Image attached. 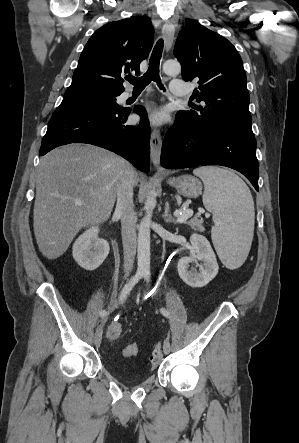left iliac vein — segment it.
Here are the masks:
<instances>
[{"label":"left iliac vein","instance_id":"1","mask_svg":"<svg viewBox=\"0 0 299 443\" xmlns=\"http://www.w3.org/2000/svg\"><path fill=\"white\" fill-rule=\"evenodd\" d=\"M171 350V345L168 339H165L164 344H163V351L165 354H168Z\"/></svg>","mask_w":299,"mask_h":443}]
</instances>
